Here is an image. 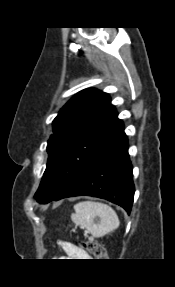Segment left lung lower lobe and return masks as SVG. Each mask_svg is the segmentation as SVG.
<instances>
[{
  "mask_svg": "<svg viewBox=\"0 0 175 287\" xmlns=\"http://www.w3.org/2000/svg\"><path fill=\"white\" fill-rule=\"evenodd\" d=\"M128 155V139L124 130L104 147L88 168L56 198L94 196L111 201L130 213L134 184Z\"/></svg>",
  "mask_w": 175,
  "mask_h": 287,
  "instance_id": "1",
  "label": "left lung lower lobe"
}]
</instances>
